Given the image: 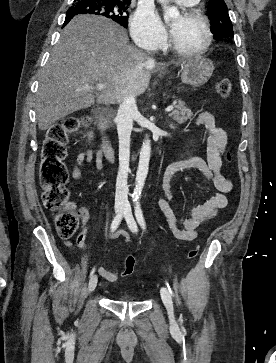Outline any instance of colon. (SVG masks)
<instances>
[{
    "label": "colon",
    "mask_w": 276,
    "mask_h": 363,
    "mask_svg": "<svg viewBox=\"0 0 276 363\" xmlns=\"http://www.w3.org/2000/svg\"><path fill=\"white\" fill-rule=\"evenodd\" d=\"M216 92L226 98L232 92V84L228 79H222L216 84ZM88 124L87 118L68 117L63 122L51 126L47 132L41 150V165L39 181L43 190L42 200L44 206L56 213L55 228L61 238L72 237L79 225L77 211L67 206L69 191L66 183L69 178L66 158V145L69 136L75 133L80 125ZM197 255V248L188 251L187 257L192 259ZM125 275L131 274L135 266V258L127 256L125 259Z\"/></svg>",
    "instance_id": "obj_1"
}]
</instances>
